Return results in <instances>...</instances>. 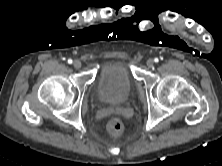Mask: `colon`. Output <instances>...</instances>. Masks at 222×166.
<instances>
[{
  "mask_svg": "<svg viewBox=\"0 0 222 166\" xmlns=\"http://www.w3.org/2000/svg\"><path fill=\"white\" fill-rule=\"evenodd\" d=\"M107 130L111 135L119 136L124 130V125L120 119L113 118L109 121Z\"/></svg>",
  "mask_w": 222,
  "mask_h": 166,
  "instance_id": "1",
  "label": "colon"
}]
</instances>
